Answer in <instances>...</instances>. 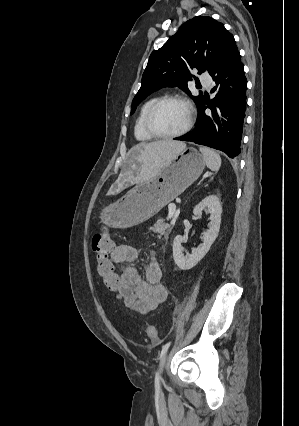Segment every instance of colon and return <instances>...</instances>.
<instances>
[{"instance_id":"1","label":"colon","mask_w":299,"mask_h":426,"mask_svg":"<svg viewBox=\"0 0 299 426\" xmlns=\"http://www.w3.org/2000/svg\"><path fill=\"white\" fill-rule=\"evenodd\" d=\"M92 251L97 263V272L105 287L121 298V282L119 274L111 261V253L114 249V241L108 229L103 228L95 233L91 242ZM146 334L152 342H159L160 335L154 325H148Z\"/></svg>"}]
</instances>
